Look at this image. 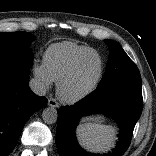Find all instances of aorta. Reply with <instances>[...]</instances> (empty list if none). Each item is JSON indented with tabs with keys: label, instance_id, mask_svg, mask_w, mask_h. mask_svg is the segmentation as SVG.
<instances>
[{
	"label": "aorta",
	"instance_id": "1",
	"mask_svg": "<svg viewBox=\"0 0 156 156\" xmlns=\"http://www.w3.org/2000/svg\"><path fill=\"white\" fill-rule=\"evenodd\" d=\"M58 113L53 107L45 108L42 112V119L47 124H53L57 121Z\"/></svg>",
	"mask_w": 156,
	"mask_h": 156
}]
</instances>
